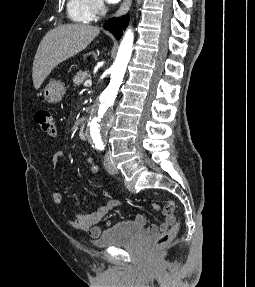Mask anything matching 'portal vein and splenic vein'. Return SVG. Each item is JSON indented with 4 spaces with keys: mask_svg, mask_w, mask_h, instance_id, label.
I'll use <instances>...</instances> for the list:
<instances>
[{
    "mask_svg": "<svg viewBox=\"0 0 255 287\" xmlns=\"http://www.w3.org/2000/svg\"><path fill=\"white\" fill-rule=\"evenodd\" d=\"M84 86H85V88H90V86H92L91 80H86Z\"/></svg>",
    "mask_w": 255,
    "mask_h": 287,
    "instance_id": "1",
    "label": "portal vein and splenic vein"
}]
</instances>
